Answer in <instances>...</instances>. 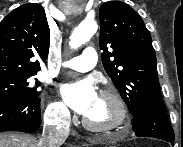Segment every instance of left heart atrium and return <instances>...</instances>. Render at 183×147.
Wrapping results in <instances>:
<instances>
[{"instance_id":"obj_1","label":"left heart atrium","mask_w":183,"mask_h":147,"mask_svg":"<svg viewBox=\"0 0 183 147\" xmlns=\"http://www.w3.org/2000/svg\"><path fill=\"white\" fill-rule=\"evenodd\" d=\"M65 102L77 113L85 115L97 99V92L91 79L66 83L60 87Z\"/></svg>"}]
</instances>
